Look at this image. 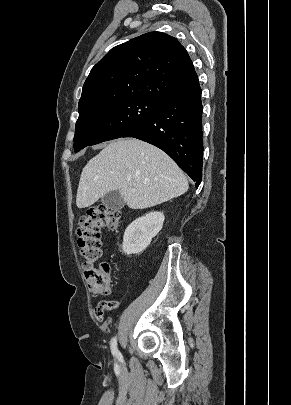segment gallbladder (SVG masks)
Masks as SVG:
<instances>
[{
  "instance_id": "obj_1",
  "label": "gallbladder",
  "mask_w": 291,
  "mask_h": 405,
  "mask_svg": "<svg viewBox=\"0 0 291 405\" xmlns=\"http://www.w3.org/2000/svg\"><path fill=\"white\" fill-rule=\"evenodd\" d=\"M102 204L110 210L118 211L124 207V200L119 191H110L105 194L102 199Z\"/></svg>"
}]
</instances>
